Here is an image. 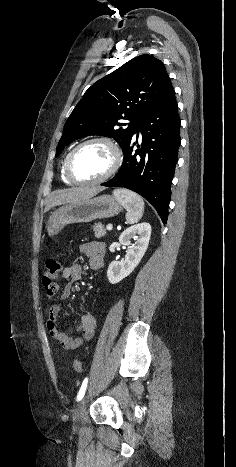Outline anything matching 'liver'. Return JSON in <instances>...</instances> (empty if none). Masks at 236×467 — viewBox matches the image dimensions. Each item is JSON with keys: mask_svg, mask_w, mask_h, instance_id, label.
<instances>
[{"mask_svg": "<svg viewBox=\"0 0 236 467\" xmlns=\"http://www.w3.org/2000/svg\"><path fill=\"white\" fill-rule=\"evenodd\" d=\"M104 188L102 187H78L70 188L64 190H57L52 193L51 197L48 200V203L45 207V212L49 211L51 208L66 203L76 202L80 200L89 199Z\"/></svg>", "mask_w": 236, "mask_h": 467, "instance_id": "obj_1", "label": "liver"}]
</instances>
